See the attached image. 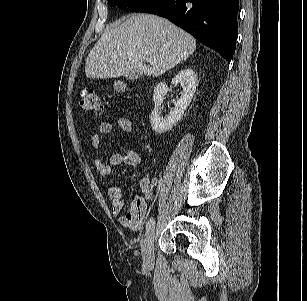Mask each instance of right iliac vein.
I'll use <instances>...</instances> for the list:
<instances>
[{
    "mask_svg": "<svg viewBox=\"0 0 307 301\" xmlns=\"http://www.w3.org/2000/svg\"><path fill=\"white\" fill-rule=\"evenodd\" d=\"M154 239H155V229L152 228L142 246V258L143 262L146 266L150 267L154 264V252H153V247H154Z\"/></svg>",
    "mask_w": 307,
    "mask_h": 301,
    "instance_id": "63e3f726",
    "label": "right iliac vein"
}]
</instances>
